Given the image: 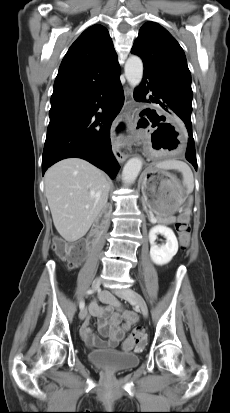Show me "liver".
Segmentation results:
<instances>
[{"label": "liver", "mask_w": 230, "mask_h": 413, "mask_svg": "<svg viewBox=\"0 0 230 413\" xmlns=\"http://www.w3.org/2000/svg\"><path fill=\"white\" fill-rule=\"evenodd\" d=\"M44 182L58 233L68 242L83 237L107 203L105 173L83 159L68 158L50 167Z\"/></svg>", "instance_id": "obj_1"}]
</instances>
